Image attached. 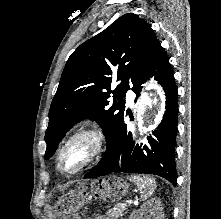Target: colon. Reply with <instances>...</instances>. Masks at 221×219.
<instances>
[{"instance_id": "colon-1", "label": "colon", "mask_w": 221, "mask_h": 219, "mask_svg": "<svg viewBox=\"0 0 221 219\" xmlns=\"http://www.w3.org/2000/svg\"><path fill=\"white\" fill-rule=\"evenodd\" d=\"M77 203L72 202L70 199H64L62 202L61 211L67 216L68 219H78L75 210Z\"/></svg>"}]
</instances>
